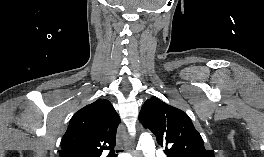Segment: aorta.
<instances>
[{
  "label": "aorta",
  "mask_w": 264,
  "mask_h": 157,
  "mask_svg": "<svg viewBox=\"0 0 264 157\" xmlns=\"http://www.w3.org/2000/svg\"><path fill=\"white\" fill-rule=\"evenodd\" d=\"M138 147L143 151L145 157H154V141L150 135H142Z\"/></svg>",
  "instance_id": "obj_1"
}]
</instances>
